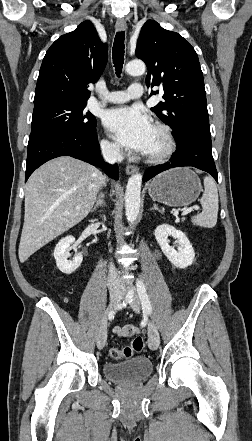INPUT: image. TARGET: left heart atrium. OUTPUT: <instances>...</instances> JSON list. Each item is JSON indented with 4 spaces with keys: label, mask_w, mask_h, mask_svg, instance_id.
Segmentation results:
<instances>
[{
    "label": "left heart atrium",
    "mask_w": 252,
    "mask_h": 441,
    "mask_svg": "<svg viewBox=\"0 0 252 441\" xmlns=\"http://www.w3.org/2000/svg\"><path fill=\"white\" fill-rule=\"evenodd\" d=\"M104 125L112 137L128 150L146 153L153 139L150 117L138 107H120L109 111Z\"/></svg>",
    "instance_id": "1"
}]
</instances>
